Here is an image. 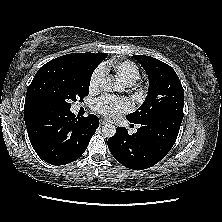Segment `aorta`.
Here are the masks:
<instances>
[{
  "instance_id": "obj_1",
  "label": "aorta",
  "mask_w": 222,
  "mask_h": 222,
  "mask_svg": "<svg viewBox=\"0 0 222 222\" xmlns=\"http://www.w3.org/2000/svg\"><path fill=\"white\" fill-rule=\"evenodd\" d=\"M101 88H102V90H104L106 92L120 91V85L113 78H110V77H107L106 79H104L102 81ZM102 133L107 138L113 137L116 133L115 125L110 124V123H106L102 127Z\"/></svg>"
}]
</instances>
